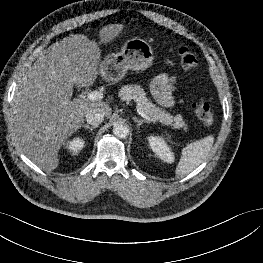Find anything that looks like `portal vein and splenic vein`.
I'll use <instances>...</instances> for the list:
<instances>
[{"label": "portal vein and splenic vein", "mask_w": 263, "mask_h": 263, "mask_svg": "<svg viewBox=\"0 0 263 263\" xmlns=\"http://www.w3.org/2000/svg\"><path fill=\"white\" fill-rule=\"evenodd\" d=\"M102 98H103V93L101 91L95 90V91H91V92L87 93V99H89V100L99 101V100H102ZM136 111L141 117L148 119V120H151V118L148 116V114L143 112L141 110V108L137 107Z\"/></svg>", "instance_id": "obj_1"}]
</instances>
